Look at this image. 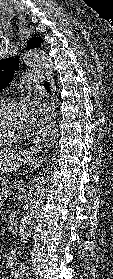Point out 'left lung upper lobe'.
<instances>
[{"label":"left lung upper lobe","mask_w":113,"mask_h":279,"mask_svg":"<svg viewBox=\"0 0 113 279\" xmlns=\"http://www.w3.org/2000/svg\"><path fill=\"white\" fill-rule=\"evenodd\" d=\"M41 43H43L42 38L33 37L28 41L26 50L40 47ZM18 59V57H11L0 60V88L6 87L9 84V82L13 79L14 71L19 66Z\"/></svg>","instance_id":"obj_1"}]
</instances>
